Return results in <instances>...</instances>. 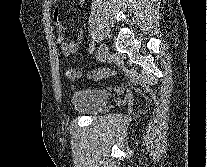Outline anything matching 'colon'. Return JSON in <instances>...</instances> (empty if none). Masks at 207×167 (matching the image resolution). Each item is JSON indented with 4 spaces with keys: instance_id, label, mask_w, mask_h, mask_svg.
<instances>
[{
    "instance_id": "5ec220e1",
    "label": "colon",
    "mask_w": 207,
    "mask_h": 167,
    "mask_svg": "<svg viewBox=\"0 0 207 167\" xmlns=\"http://www.w3.org/2000/svg\"><path fill=\"white\" fill-rule=\"evenodd\" d=\"M116 75V71L111 68H101L88 72H82L77 69L70 68L66 71V77L70 80H77L79 78L85 77L91 80H99L108 78L110 76Z\"/></svg>"
}]
</instances>
